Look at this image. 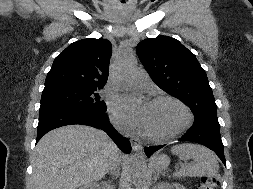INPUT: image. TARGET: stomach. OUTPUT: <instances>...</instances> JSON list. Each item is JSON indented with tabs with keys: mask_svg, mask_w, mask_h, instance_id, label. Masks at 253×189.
I'll return each mask as SVG.
<instances>
[{
	"mask_svg": "<svg viewBox=\"0 0 253 189\" xmlns=\"http://www.w3.org/2000/svg\"><path fill=\"white\" fill-rule=\"evenodd\" d=\"M170 159L167 155H158L153 158V166L157 170H164L168 167Z\"/></svg>",
	"mask_w": 253,
	"mask_h": 189,
	"instance_id": "0dacf381",
	"label": "stomach"
}]
</instances>
